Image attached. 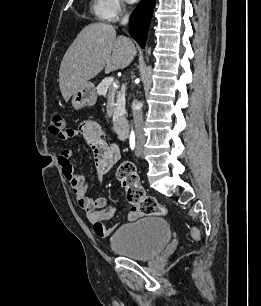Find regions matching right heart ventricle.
Masks as SVG:
<instances>
[{"label": "right heart ventricle", "mask_w": 261, "mask_h": 306, "mask_svg": "<svg viewBox=\"0 0 261 306\" xmlns=\"http://www.w3.org/2000/svg\"><path fill=\"white\" fill-rule=\"evenodd\" d=\"M99 4H100L99 0H92V6H93L94 10L96 11V13H97Z\"/></svg>", "instance_id": "e07e8e85"}]
</instances>
